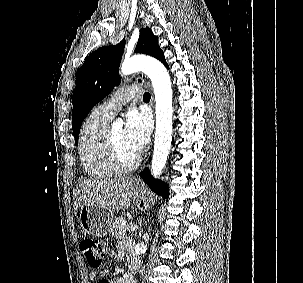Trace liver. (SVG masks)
<instances>
[{
    "label": "liver",
    "instance_id": "liver-1",
    "mask_svg": "<svg viewBox=\"0 0 303 283\" xmlns=\"http://www.w3.org/2000/svg\"><path fill=\"white\" fill-rule=\"evenodd\" d=\"M135 180L130 177L111 180H83L74 192V210L92 205L110 211L126 210L131 204Z\"/></svg>",
    "mask_w": 303,
    "mask_h": 283
}]
</instances>
